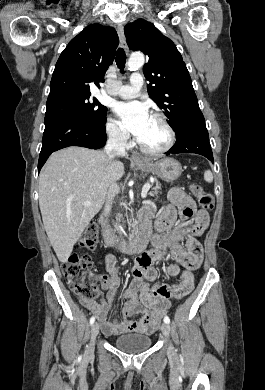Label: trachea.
Instances as JSON below:
<instances>
[{"instance_id":"1","label":"trachea","mask_w":265,"mask_h":390,"mask_svg":"<svg viewBox=\"0 0 265 390\" xmlns=\"http://www.w3.org/2000/svg\"><path fill=\"white\" fill-rule=\"evenodd\" d=\"M125 63H126V54L122 48H119L116 54V64L120 69V72H123L125 68Z\"/></svg>"}]
</instances>
